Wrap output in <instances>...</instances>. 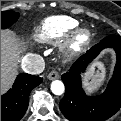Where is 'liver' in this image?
I'll use <instances>...</instances> for the list:
<instances>
[{
    "instance_id": "6515ba94",
    "label": "liver",
    "mask_w": 121,
    "mask_h": 121,
    "mask_svg": "<svg viewBox=\"0 0 121 121\" xmlns=\"http://www.w3.org/2000/svg\"><path fill=\"white\" fill-rule=\"evenodd\" d=\"M22 51V43L15 34L1 30V95L9 89L16 77Z\"/></svg>"
}]
</instances>
